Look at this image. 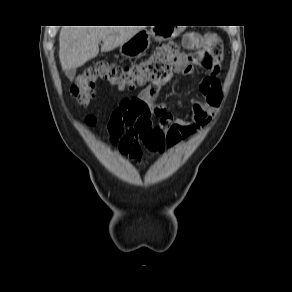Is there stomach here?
Returning a JSON list of instances; mask_svg holds the SVG:
<instances>
[{
    "label": "stomach",
    "instance_id": "1",
    "mask_svg": "<svg viewBox=\"0 0 292 292\" xmlns=\"http://www.w3.org/2000/svg\"><path fill=\"white\" fill-rule=\"evenodd\" d=\"M178 33V29L163 26H154L150 31L142 29L120 46V53L127 58L136 57L149 48L151 37L158 41H164L174 38Z\"/></svg>",
    "mask_w": 292,
    "mask_h": 292
}]
</instances>
